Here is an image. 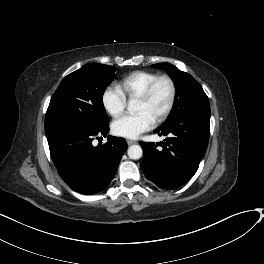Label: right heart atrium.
Returning a JSON list of instances; mask_svg holds the SVG:
<instances>
[{
    "instance_id": "d8ad5b80",
    "label": "right heart atrium",
    "mask_w": 264,
    "mask_h": 264,
    "mask_svg": "<svg viewBox=\"0 0 264 264\" xmlns=\"http://www.w3.org/2000/svg\"><path fill=\"white\" fill-rule=\"evenodd\" d=\"M102 104L112 117H119L125 110L127 99L119 87L110 86L102 94Z\"/></svg>"
}]
</instances>
